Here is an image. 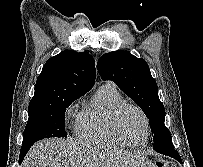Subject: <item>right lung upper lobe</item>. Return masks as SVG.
Instances as JSON below:
<instances>
[{
  "label": "right lung upper lobe",
  "instance_id": "cb5924a9",
  "mask_svg": "<svg viewBox=\"0 0 203 167\" xmlns=\"http://www.w3.org/2000/svg\"><path fill=\"white\" fill-rule=\"evenodd\" d=\"M95 78L94 59L88 52L62 51L45 63L29 105L80 97L93 87Z\"/></svg>",
  "mask_w": 203,
  "mask_h": 167
}]
</instances>
